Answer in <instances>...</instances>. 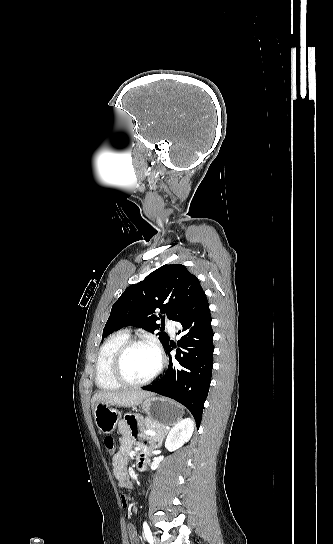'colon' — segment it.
Listing matches in <instances>:
<instances>
[{"label":"colon","mask_w":333,"mask_h":544,"mask_svg":"<svg viewBox=\"0 0 333 544\" xmlns=\"http://www.w3.org/2000/svg\"><path fill=\"white\" fill-rule=\"evenodd\" d=\"M104 446H105L106 450L110 454H114V452H115V441L111 436H106L104 438Z\"/></svg>","instance_id":"1"}]
</instances>
